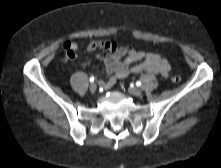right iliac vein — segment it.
<instances>
[{"instance_id":"obj_1","label":"right iliac vein","mask_w":221,"mask_h":168,"mask_svg":"<svg viewBox=\"0 0 221 168\" xmlns=\"http://www.w3.org/2000/svg\"><path fill=\"white\" fill-rule=\"evenodd\" d=\"M90 92L91 93H95L96 92V90H97V85L95 84V83H92L91 85H90Z\"/></svg>"}]
</instances>
